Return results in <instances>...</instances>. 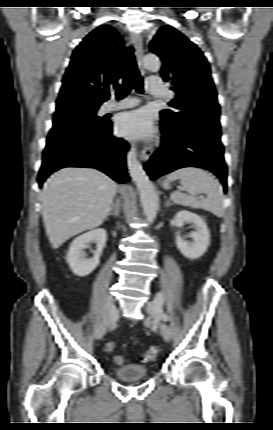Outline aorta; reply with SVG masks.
Instances as JSON below:
<instances>
[{
    "instance_id": "762f6f07",
    "label": "aorta",
    "mask_w": 273,
    "mask_h": 430,
    "mask_svg": "<svg viewBox=\"0 0 273 430\" xmlns=\"http://www.w3.org/2000/svg\"><path fill=\"white\" fill-rule=\"evenodd\" d=\"M143 65L146 69L157 72L160 69V59L155 54H148L143 58ZM127 165L129 174L135 182L143 206L144 214L149 222L156 217L159 206L158 196L148 175L137 159L136 148L133 146L127 155Z\"/></svg>"
}]
</instances>
